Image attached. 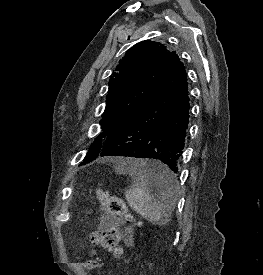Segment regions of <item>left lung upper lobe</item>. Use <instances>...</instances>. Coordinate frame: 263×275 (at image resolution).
Instances as JSON below:
<instances>
[{
  "label": "left lung upper lobe",
  "mask_w": 263,
  "mask_h": 275,
  "mask_svg": "<svg viewBox=\"0 0 263 275\" xmlns=\"http://www.w3.org/2000/svg\"><path fill=\"white\" fill-rule=\"evenodd\" d=\"M175 56V51L150 40L137 43L125 53L109 80L101 133L81 164L98 156L105 140L120 130L158 85Z\"/></svg>",
  "instance_id": "5c2ea615"
}]
</instances>
